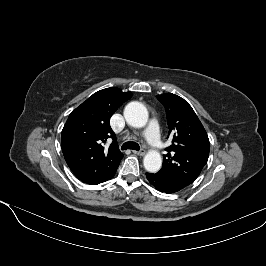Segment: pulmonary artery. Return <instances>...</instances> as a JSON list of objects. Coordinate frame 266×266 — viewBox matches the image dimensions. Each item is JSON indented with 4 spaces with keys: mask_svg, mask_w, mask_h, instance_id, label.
I'll list each match as a JSON object with an SVG mask.
<instances>
[{
    "mask_svg": "<svg viewBox=\"0 0 266 266\" xmlns=\"http://www.w3.org/2000/svg\"><path fill=\"white\" fill-rule=\"evenodd\" d=\"M143 135L151 147L155 149L162 148V142L160 139L159 127L157 122L151 121L143 132Z\"/></svg>",
    "mask_w": 266,
    "mask_h": 266,
    "instance_id": "obj_1",
    "label": "pulmonary artery"
}]
</instances>
